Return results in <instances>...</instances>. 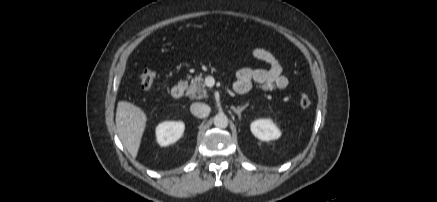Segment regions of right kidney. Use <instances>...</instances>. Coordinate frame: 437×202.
I'll list each match as a JSON object with an SVG mask.
<instances>
[{
	"label": "right kidney",
	"instance_id": "1",
	"mask_svg": "<svg viewBox=\"0 0 437 202\" xmlns=\"http://www.w3.org/2000/svg\"><path fill=\"white\" fill-rule=\"evenodd\" d=\"M185 130L183 122L166 121L156 127V138L160 146H168L178 141Z\"/></svg>",
	"mask_w": 437,
	"mask_h": 202
}]
</instances>
